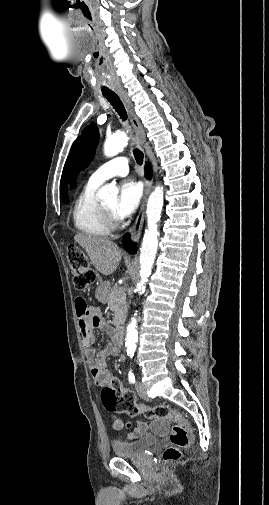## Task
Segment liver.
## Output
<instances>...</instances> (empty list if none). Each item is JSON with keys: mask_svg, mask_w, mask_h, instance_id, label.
I'll return each mask as SVG.
<instances>
[{"mask_svg": "<svg viewBox=\"0 0 269 505\" xmlns=\"http://www.w3.org/2000/svg\"><path fill=\"white\" fill-rule=\"evenodd\" d=\"M74 240L85 249L98 272L111 275L119 265L122 254L116 243L101 237L77 234Z\"/></svg>", "mask_w": 269, "mask_h": 505, "instance_id": "liver-1", "label": "liver"}]
</instances>
